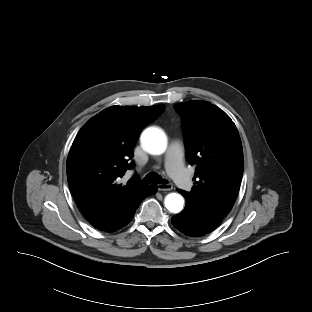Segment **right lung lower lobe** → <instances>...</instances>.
I'll return each instance as SVG.
<instances>
[{
	"label": "right lung lower lobe",
	"instance_id": "obj_1",
	"mask_svg": "<svg viewBox=\"0 0 312 312\" xmlns=\"http://www.w3.org/2000/svg\"><path fill=\"white\" fill-rule=\"evenodd\" d=\"M156 190H157L156 185H150V186L146 185L144 187V189L141 191L136 202L131 206V208L127 212V214L122 218V220L119 223H117L116 225H114L113 227L108 229L107 232H114V231L122 228L126 224H128L129 221L133 218V216L136 212V209L138 208L140 203L143 201V199L149 195L154 194L156 192Z\"/></svg>",
	"mask_w": 312,
	"mask_h": 312
}]
</instances>
